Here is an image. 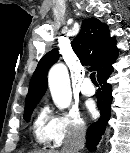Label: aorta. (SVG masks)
Returning a JSON list of instances; mask_svg holds the SVG:
<instances>
[{"label":"aorta","mask_w":130,"mask_h":153,"mask_svg":"<svg viewBox=\"0 0 130 153\" xmlns=\"http://www.w3.org/2000/svg\"><path fill=\"white\" fill-rule=\"evenodd\" d=\"M48 83L55 105L59 109L67 108L72 100V92L68 70L64 64H55L50 69Z\"/></svg>","instance_id":"1"}]
</instances>
